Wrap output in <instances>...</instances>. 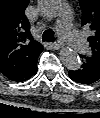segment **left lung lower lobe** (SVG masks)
<instances>
[{"label":"left lung lower lobe","instance_id":"left-lung-lower-lobe-1","mask_svg":"<svg viewBox=\"0 0 100 118\" xmlns=\"http://www.w3.org/2000/svg\"><path fill=\"white\" fill-rule=\"evenodd\" d=\"M82 57V65L78 70L68 72L69 77L82 84H91L100 79V65L85 56Z\"/></svg>","mask_w":100,"mask_h":118}]
</instances>
